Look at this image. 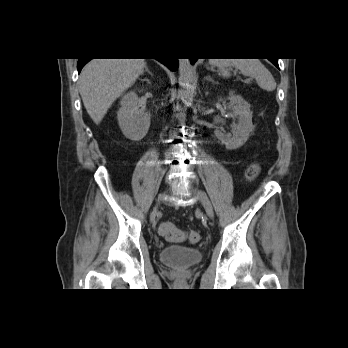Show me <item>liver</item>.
<instances>
[{
	"mask_svg": "<svg viewBox=\"0 0 348 348\" xmlns=\"http://www.w3.org/2000/svg\"><path fill=\"white\" fill-rule=\"evenodd\" d=\"M144 59H92L79 77V92L95 124L104 118L113 102L143 74Z\"/></svg>",
	"mask_w": 348,
	"mask_h": 348,
	"instance_id": "6515ba94",
	"label": "liver"
}]
</instances>
